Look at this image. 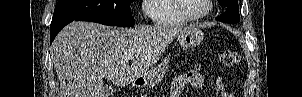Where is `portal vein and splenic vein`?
Returning a JSON list of instances; mask_svg holds the SVG:
<instances>
[{"label": "portal vein and splenic vein", "mask_w": 302, "mask_h": 97, "mask_svg": "<svg viewBox=\"0 0 302 97\" xmlns=\"http://www.w3.org/2000/svg\"><path fill=\"white\" fill-rule=\"evenodd\" d=\"M128 59H129V60H132V59H134V56L131 55V56L128 57Z\"/></svg>", "instance_id": "1"}]
</instances>
